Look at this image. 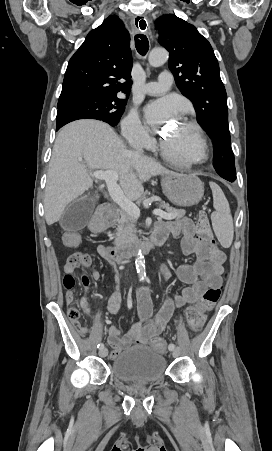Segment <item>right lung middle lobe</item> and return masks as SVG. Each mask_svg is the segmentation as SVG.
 Listing matches in <instances>:
<instances>
[{
  "instance_id": "right-lung-middle-lobe-1",
  "label": "right lung middle lobe",
  "mask_w": 272,
  "mask_h": 451,
  "mask_svg": "<svg viewBox=\"0 0 272 451\" xmlns=\"http://www.w3.org/2000/svg\"><path fill=\"white\" fill-rule=\"evenodd\" d=\"M126 100L117 96H81L58 101L56 126L78 119L102 120L115 126L124 112Z\"/></svg>"
}]
</instances>
